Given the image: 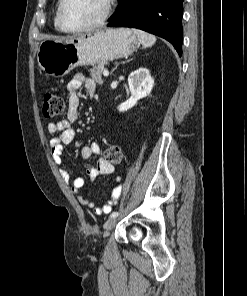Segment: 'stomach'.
Masks as SVG:
<instances>
[{"label":"stomach","mask_w":247,"mask_h":296,"mask_svg":"<svg viewBox=\"0 0 247 296\" xmlns=\"http://www.w3.org/2000/svg\"><path fill=\"white\" fill-rule=\"evenodd\" d=\"M138 47V38L131 30L104 29L65 39H45L39 45L37 61L48 75L63 77L77 66L126 57Z\"/></svg>","instance_id":"stomach-1"}]
</instances>
